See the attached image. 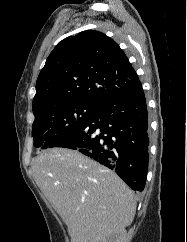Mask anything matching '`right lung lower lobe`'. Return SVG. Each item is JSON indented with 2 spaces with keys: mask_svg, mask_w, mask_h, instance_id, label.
<instances>
[{
  "mask_svg": "<svg viewBox=\"0 0 187 242\" xmlns=\"http://www.w3.org/2000/svg\"><path fill=\"white\" fill-rule=\"evenodd\" d=\"M148 116L142 86L112 97L49 148L77 150L143 191L148 170Z\"/></svg>",
  "mask_w": 187,
  "mask_h": 242,
  "instance_id": "right-lung-lower-lobe-1",
  "label": "right lung lower lobe"
}]
</instances>
